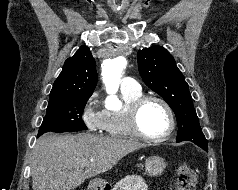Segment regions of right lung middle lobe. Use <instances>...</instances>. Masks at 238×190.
I'll use <instances>...</instances> for the list:
<instances>
[{
	"label": "right lung middle lobe",
	"mask_w": 238,
	"mask_h": 190,
	"mask_svg": "<svg viewBox=\"0 0 238 190\" xmlns=\"http://www.w3.org/2000/svg\"><path fill=\"white\" fill-rule=\"evenodd\" d=\"M91 95H73L50 100L38 136L48 131L62 133L86 130L82 121L83 109Z\"/></svg>",
	"instance_id": "obj_1"
}]
</instances>
